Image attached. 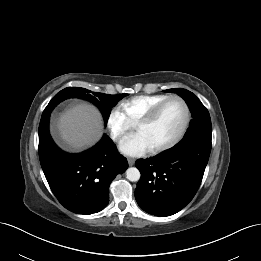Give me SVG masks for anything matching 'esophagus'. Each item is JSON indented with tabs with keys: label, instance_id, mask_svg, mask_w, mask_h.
<instances>
[{
	"label": "esophagus",
	"instance_id": "obj_1",
	"mask_svg": "<svg viewBox=\"0 0 261 261\" xmlns=\"http://www.w3.org/2000/svg\"><path fill=\"white\" fill-rule=\"evenodd\" d=\"M127 161L130 166L134 165L135 163V160L133 158H128Z\"/></svg>",
	"mask_w": 261,
	"mask_h": 261
}]
</instances>
